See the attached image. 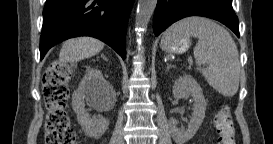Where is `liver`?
Segmentation results:
<instances>
[{
    "instance_id": "obj_1",
    "label": "liver",
    "mask_w": 273,
    "mask_h": 144,
    "mask_svg": "<svg viewBox=\"0 0 273 144\" xmlns=\"http://www.w3.org/2000/svg\"><path fill=\"white\" fill-rule=\"evenodd\" d=\"M104 48V43L93 37H77L63 43L59 62L73 63L92 57Z\"/></svg>"
}]
</instances>
